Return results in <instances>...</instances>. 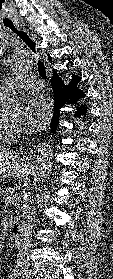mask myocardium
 I'll list each match as a JSON object with an SVG mask.
<instances>
[{
  "label": "myocardium",
  "instance_id": "myocardium-1",
  "mask_svg": "<svg viewBox=\"0 0 113 279\" xmlns=\"http://www.w3.org/2000/svg\"><path fill=\"white\" fill-rule=\"evenodd\" d=\"M7 122L9 125H11L13 127H15L18 124L17 122L12 121L10 118H7Z\"/></svg>",
  "mask_w": 113,
  "mask_h": 279
}]
</instances>
